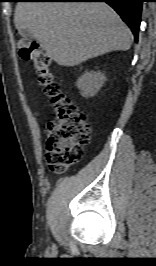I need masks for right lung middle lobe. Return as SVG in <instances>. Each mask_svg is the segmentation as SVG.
<instances>
[{
  "mask_svg": "<svg viewBox=\"0 0 156 266\" xmlns=\"http://www.w3.org/2000/svg\"><path fill=\"white\" fill-rule=\"evenodd\" d=\"M17 1H20V0H14V2H17Z\"/></svg>",
  "mask_w": 156,
  "mask_h": 266,
  "instance_id": "1",
  "label": "right lung middle lobe"
}]
</instances>
